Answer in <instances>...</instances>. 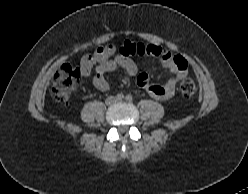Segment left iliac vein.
<instances>
[{
  "label": "left iliac vein",
  "instance_id": "obj_1",
  "mask_svg": "<svg viewBox=\"0 0 248 194\" xmlns=\"http://www.w3.org/2000/svg\"><path fill=\"white\" fill-rule=\"evenodd\" d=\"M116 102H121L120 100H116Z\"/></svg>",
  "mask_w": 248,
  "mask_h": 194
}]
</instances>
